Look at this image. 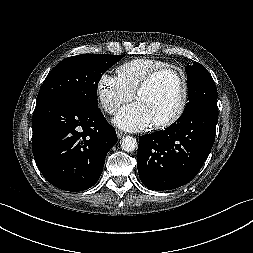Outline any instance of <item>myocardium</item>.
<instances>
[{
    "label": "myocardium",
    "instance_id": "obj_1",
    "mask_svg": "<svg viewBox=\"0 0 253 253\" xmlns=\"http://www.w3.org/2000/svg\"><path fill=\"white\" fill-rule=\"evenodd\" d=\"M167 74H172L177 77L180 83L181 95H180L179 106L177 110L170 117L164 120L153 122L154 127L160 128V129L168 128L174 125L175 123H177L186 111L188 99H189V81H188L187 73L182 68L177 67V66H166V67L154 70L150 72L144 78V80L140 83V85L138 86V88L136 89L134 93V98L136 99L139 94L151 88L159 78Z\"/></svg>",
    "mask_w": 253,
    "mask_h": 253
}]
</instances>
